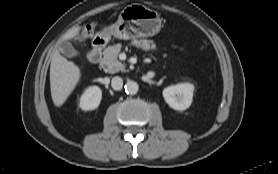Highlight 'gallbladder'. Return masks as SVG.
Segmentation results:
<instances>
[{
	"mask_svg": "<svg viewBox=\"0 0 278 174\" xmlns=\"http://www.w3.org/2000/svg\"><path fill=\"white\" fill-rule=\"evenodd\" d=\"M57 50L68 58H74L79 56L78 52L74 49L72 44L67 41H63L57 45Z\"/></svg>",
	"mask_w": 278,
	"mask_h": 174,
	"instance_id": "1",
	"label": "gallbladder"
}]
</instances>
